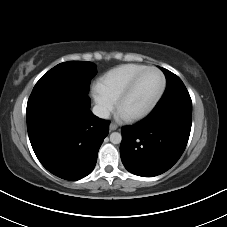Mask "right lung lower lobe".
Instances as JSON below:
<instances>
[{
	"label": "right lung lower lobe",
	"mask_w": 227,
	"mask_h": 227,
	"mask_svg": "<svg viewBox=\"0 0 227 227\" xmlns=\"http://www.w3.org/2000/svg\"><path fill=\"white\" fill-rule=\"evenodd\" d=\"M26 118L34 153L49 172L70 181L92 172L109 123L90 111L88 94L48 96L27 107Z\"/></svg>",
	"instance_id": "right-lung-lower-lobe-1"
}]
</instances>
